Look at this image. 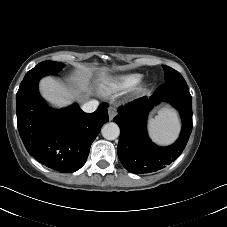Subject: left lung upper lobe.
<instances>
[{"instance_id": "obj_1", "label": "left lung upper lobe", "mask_w": 227, "mask_h": 227, "mask_svg": "<svg viewBox=\"0 0 227 227\" xmlns=\"http://www.w3.org/2000/svg\"><path fill=\"white\" fill-rule=\"evenodd\" d=\"M163 69L165 72V83H186L182 75L176 70L163 65Z\"/></svg>"}]
</instances>
